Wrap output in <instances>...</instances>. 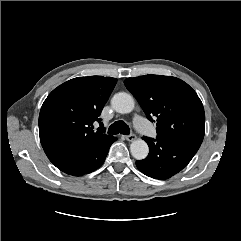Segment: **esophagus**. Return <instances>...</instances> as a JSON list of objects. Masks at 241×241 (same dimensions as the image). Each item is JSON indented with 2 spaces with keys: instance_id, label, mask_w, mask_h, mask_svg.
Masks as SVG:
<instances>
[{
  "instance_id": "34e87169",
  "label": "esophagus",
  "mask_w": 241,
  "mask_h": 241,
  "mask_svg": "<svg viewBox=\"0 0 241 241\" xmlns=\"http://www.w3.org/2000/svg\"><path fill=\"white\" fill-rule=\"evenodd\" d=\"M125 139L129 142L133 141L136 139V135L135 134H130V135H126Z\"/></svg>"
}]
</instances>
